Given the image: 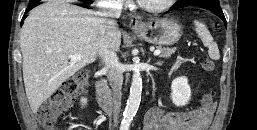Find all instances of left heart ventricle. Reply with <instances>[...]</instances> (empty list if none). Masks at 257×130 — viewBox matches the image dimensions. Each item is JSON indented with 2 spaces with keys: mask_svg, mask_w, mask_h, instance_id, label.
Wrapping results in <instances>:
<instances>
[{
  "mask_svg": "<svg viewBox=\"0 0 257 130\" xmlns=\"http://www.w3.org/2000/svg\"><path fill=\"white\" fill-rule=\"evenodd\" d=\"M164 0H142L141 2L148 4V5H157L162 3Z\"/></svg>",
  "mask_w": 257,
  "mask_h": 130,
  "instance_id": "left-heart-ventricle-1",
  "label": "left heart ventricle"
}]
</instances>
